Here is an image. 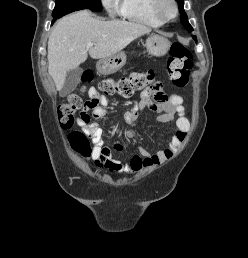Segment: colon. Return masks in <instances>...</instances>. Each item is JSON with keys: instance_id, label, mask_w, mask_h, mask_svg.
Returning <instances> with one entry per match:
<instances>
[{"instance_id": "colon-1", "label": "colon", "mask_w": 248, "mask_h": 258, "mask_svg": "<svg viewBox=\"0 0 248 258\" xmlns=\"http://www.w3.org/2000/svg\"><path fill=\"white\" fill-rule=\"evenodd\" d=\"M192 68V54L190 50L181 43H174L170 48L168 59V75L172 83L177 87H185L189 81ZM92 81V74L85 73L82 76V84L86 85ZM152 87L154 91L160 93L161 86L155 82V74L149 70L142 73H133L128 77L119 80L111 78L100 82L99 88L105 95L118 94L122 97H131L137 92ZM82 100L78 94L68 96L65 103L61 104L57 110L58 122L63 128H71L74 124V114L81 107ZM69 141L72 148L83 157L91 154V142L89 136L79 130L69 134Z\"/></svg>"}]
</instances>
